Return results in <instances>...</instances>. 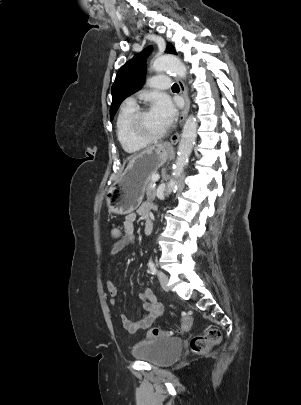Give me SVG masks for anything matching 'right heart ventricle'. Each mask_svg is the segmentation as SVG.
<instances>
[{
  "label": "right heart ventricle",
  "mask_w": 301,
  "mask_h": 405,
  "mask_svg": "<svg viewBox=\"0 0 301 405\" xmlns=\"http://www.w3.org/2000/svg\"><path fill=\"white\" fill-rule=\"evenodd\" d=\"M137 107L132 104H124L116 119V135L122 148L130 154L142 150L146 143L136 140L129 131V121Z\"/></svg>",
  "instance_id": "e07e8e85"
}]
</instances>
